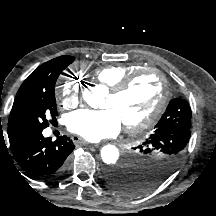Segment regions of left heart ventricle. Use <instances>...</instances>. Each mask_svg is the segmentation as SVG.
Segmentation results:
<instances>
[{
    "instance_id": "b2bd125f",
    "label": "left heart ventricle",
    "mask_w": 216,
    "mask_h": 216,
    "mask_svg": "<svg viewBox=\"0 0 216 216\" xmlns=\"http://www.w3.org/2000/svg\"><path fill=\"white\" fill-rule=\"evenodd\" d=\"M161 82L155 73L138 78L126 92L118 97L108 95L104 107L112 108L123 124H135L145 119L161 95Z\"/></svg>"
}]
</instances>
